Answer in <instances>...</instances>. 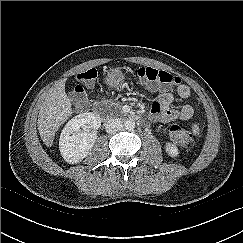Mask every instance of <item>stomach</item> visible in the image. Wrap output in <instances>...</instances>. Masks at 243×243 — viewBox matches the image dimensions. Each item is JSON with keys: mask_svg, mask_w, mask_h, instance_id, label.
Returning <instances> with one entry per match:
<instances>
[{"mask_svg": "<svg viewBox=\"0 0 243 243\" xmlns=\"http://www.w3.org/2000/svg\"><path fill=\"white\" fill-rule=\"evenodd\" d=\"M105 84L110 88H120L124 83V74L118 67H111L104 78Z\"/></svg>", "mask_w": 243, "mask_h": 243, "instance_id": "1", "label": "stomach"}]
</instances>
